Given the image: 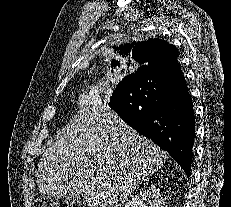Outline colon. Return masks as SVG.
Returning a JSON list of instances; mask_svg holds the SVG:
<instances>
[{"label": "colon", "mask_w": 231, "mask_h": 207, "mask_svg": "<svg viewBox=\"0 0 231 207\" xmlns=\"http://www.w3.org/2000/svg\"><path fill=\"white\" fill-rule=\"evenodd\" d=\"M34 207H79L77 204L71 203L64 199H40L35 202Z\"/></svg>", "instance_id": "5ec220e1"}]
</instances>
